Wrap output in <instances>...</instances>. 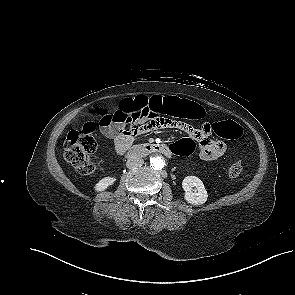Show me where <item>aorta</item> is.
<instances>
[{
	"instance_id": "aorta-1",
	"label": "aorta",
	"mask_w": 295,
	"mask_h": 295,
	"mask_svg": "<svg viewBox=\"0 0 295 295\" xmlns=\"http://www.w3.org/2000/svg\"><path fill=\"white\" fill-rule=\"evenodd\" d=\"M150 163H151L152 168L155 170H161L165 166L164 160L158 155L152 156L150 158Z\"/></svg>"
}]
</instances>
